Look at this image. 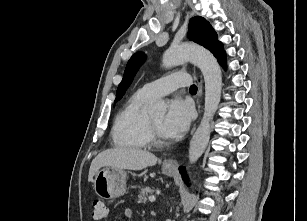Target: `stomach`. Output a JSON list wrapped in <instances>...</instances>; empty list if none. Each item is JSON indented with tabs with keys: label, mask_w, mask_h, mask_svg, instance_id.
Wrapping results in <instances>:
<instances>
[{
	"label": "stomach",
	"mask_w": 307,
	"mask_h": 221,
	"mask_svg": "<svg viewBox=\"0 0 307 221\" xmlns=\"http://www.w3.org/2000/svg\"><path fill=\"white\" fill-rule=\"evenodd\" d=\"M163 172L172 175L174 170L163 167ZM96 194L104 199H113L126 193L127 173L123 169L105 167L97 172L94 180Z\"/></svg>",
	"instance_id": "1"
}]
</instances>
